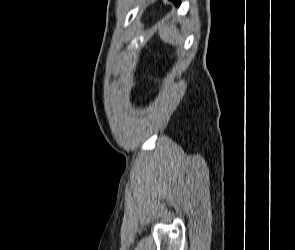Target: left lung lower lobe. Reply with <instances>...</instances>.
<instances>
[{"label":"left lung lower lobe","instance_id":"1","mask_svg":"<svg viewBox=\"0 0 295 250\" xmlns=\"http://www.w3.org/2000/svg\"><path fill=\"white\" fill-rule=\"evenodd\" d=\"M176 6L180 5V0H171Z\"/></svg>","mask_w":295,"mask_h":250}]
</instances>
